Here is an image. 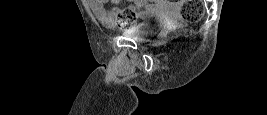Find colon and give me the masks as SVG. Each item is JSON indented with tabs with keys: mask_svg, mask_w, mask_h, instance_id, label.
<instances>
[{
	"mask_svg": "<svg viewBox=\"0 0 267 115\" xmlns=\"http://www.w3.org/2000/svg\"><path fill=\"white\" fill-rule=\"evenodd\" d=\"M172 2L180 5L182 19L187 23L197 22L203 15L204 7L200 0H174ZM113 13L121 24H126L135 20L138 8L133 6L115 7Z\"/></svg>",
	"mask_w": 267,
	"mask_h": 115,
	"instance_id": "5ec220e1",
	"label": "colon"
}]
</instances>
